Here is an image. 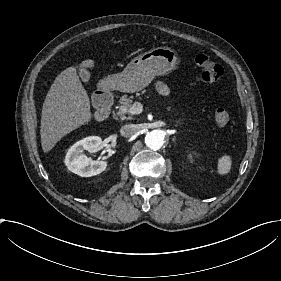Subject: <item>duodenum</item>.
<instances>
[{"label": "duodenum", "instance_id": "1", "mask_svg": "<svg viewBox=\"0 0 281 281\" xmlns=\"http://www.w3.org/2000/svg\"><path fill=\"white\" fill-rule=\"evenodd\" d=\"M95 103L98 107L97 118L99 120H104L109 115L111 109V105H112L111 95L109 93L102 92L96 96Z\"/></svg>", "mask_w": 281, "mask_h": 281}]
</instances>
